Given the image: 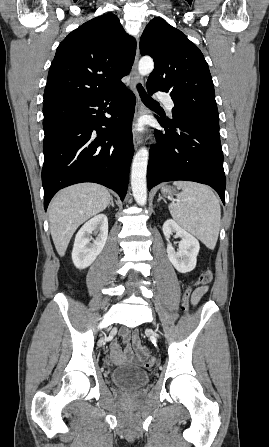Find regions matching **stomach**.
I'll return each instance as SVG.
<instances>
[{
  "label": "stomach",
  "mask_w": 269,
  "mask_h": 447,
  "mask_svg": "<svg viewBox=\"0 0 269 447\" xmlns=\"http://www.w3.org/2000/svg\"><path fill=\"white\" fill-rule=\"evenodd\" d=\"M161 192L164 196H171V194H173V190L172 188H169V186H162Z\"/></svg>",
  "instance_id": "stomach-1"
}]
</instances>
